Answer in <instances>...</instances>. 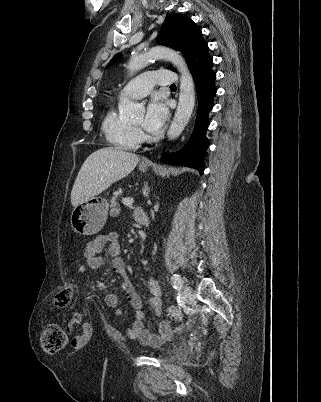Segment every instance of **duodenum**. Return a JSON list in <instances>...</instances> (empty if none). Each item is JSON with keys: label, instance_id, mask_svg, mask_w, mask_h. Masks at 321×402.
<instances>
[{"label": "duodenum", "instance_id": "obj_1", "mask_svg": "<svg viewBox=\"0 0 321 402\" xmlns=\"http://www.w3.org/2000/svg\"><path fill=\"white\" fill-rule=\"evenodd\" d=\"M134 218L141 226L145 227L148 225V216L142 208H137L134 211Z\"/></svg>", "mask_w": 321, "mask_h": 402}]
</instances>
